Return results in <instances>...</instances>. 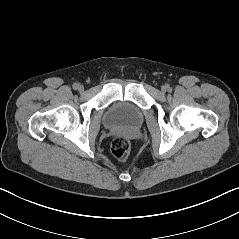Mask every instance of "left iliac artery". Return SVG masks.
<instances>
[{"instance_id": "obj_1", "label": "left iliac artery", "mask_w": 239, "mask_h": 239, "mask_svg": "<svg viewBox=\"0 0 239 239\" xmlns=\"http://www.w3.org/2000/svg\"><path fill=\"white\" fill-rule=\"evenodd\" d=\"M167 90H168V91H171V88H170L169 86H167Z\"/></svg>"}]
</instances>
